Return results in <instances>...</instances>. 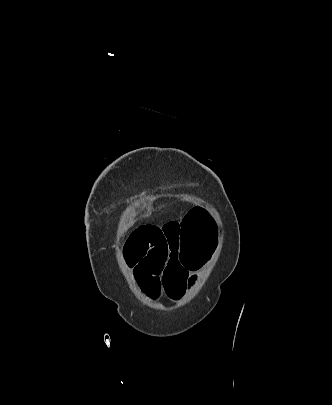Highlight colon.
Here are the masks:
<instances>
[{
  "mask_svg": "<svg viewBox=\"0 0 332 405\" xmlns=\"http://www.w3.org/2000/svg\"><path fill=\"white\" fill-rule=\"evenodd\" d=\"M194 210L189 211V220L179 222L178 261L185 262L186 268H207L217 249V229L214 220H208V211L199 205Z\"/></svg>",
  "mask_w": 332,
  "mask_h": 405,
  "instance_id": "obj_1",
  "label": "colon"
}]
</instances>
